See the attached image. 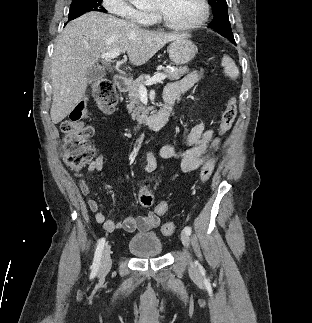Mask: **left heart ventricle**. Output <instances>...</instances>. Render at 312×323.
I'll use <instances>...</instances> for the list:
<instances>
[{
    "mask_svg": "<svg viewBox=\"0 0 312 323\" xmlns=\"http://www.w3.org/2000/svg\"><path fill=\"white\" fill-rule=\"evenodd\" d=\"M161 14L173 22H192L193 18H203L201 0H166Z\"/></svg>",
    "mask_w": 312,
    "mask_h": 323,
    "instance_id": "1",
    "label": "left heart ventricle"
}]
</instances>
